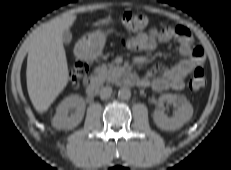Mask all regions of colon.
Listing matches in <instances>:
<instances>
[{"label": "colon", "mask_w": 231, "mask_h": 170, "mask_svg": "<svg viewBox=\"0 0 231 170\" xmlns=\"http://www.w3.org/2000/svg\"><path fill=\"white\" fill-rule=\"evenodd\" d=\"M121 23L124 28L131 33H139L143 31L149 19L146 15L134 12H124L121 16ZM87 64L82 60H76L70 68V78L75 86L84 84L86 80ZM207 85L205 71L201 67H197L189 81V89L193 92L203 90Z\"/></svg>", "instance_id": "colon-1"}]
</instances>
